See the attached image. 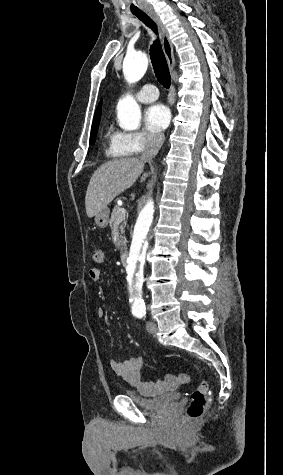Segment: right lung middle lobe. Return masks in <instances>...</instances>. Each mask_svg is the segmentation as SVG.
Here are the masks:
<instances>
[{
    "label": "right lung middle lobe",
    "instance_id": "obj_1",
    "mask_svg": "<svg viewBox=\"0 0 283 475\" xmlns=\"http://www.w3.org/2000/svg\"><path fill=\"white\" fill-rule=\"evenodd\" d=\"M100 116H101V106H98L94 114L93 124L91 128L90 144H94L95 142L98 125L100 122Z\"/></svg>",
    "mask_w": 283,
    "mask_h": 475
}]
</instances>
